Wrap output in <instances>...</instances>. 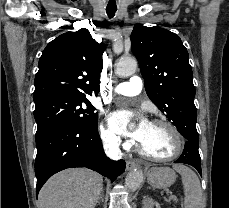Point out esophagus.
Returning <instances> with one entry per match:
<instances>
[{
  "instance_id": "obj_1",
  "label": "esophagus",
  "mask_w": 229,
  "mask_h": 208,
  "mask_svg": "<svg viewBox=\"0 0 229 208\" xmlns=\"http://www.w3.org/2000/svg\"><path fill=\"white\" fill-rule=\"evenodd\" d=\"M138 167V163L134 160H127L126 161V168L128 171H133L135 168Z\"/></svg>"
}]
</instances>
